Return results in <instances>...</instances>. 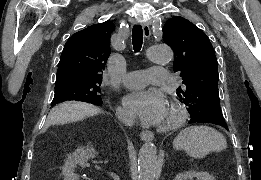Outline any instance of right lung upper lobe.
Here are the masks:
<instances>
[{"instance_id": "right-lung-upper-lobe-1", "label": "right lung upper lobe", "mask_w": 261, "mask_h": 180, "mask_svg": "<svg viewBox=\"0 0 261 180\" xmlns=\"http://www.w3.org/2000/svg\"><path fill=\"white\" fill-rule=\"evenodd\" d=\"M111 21L95 24L71 36L57 69L56 84L67 81L102 82V71L110 54Z\"/></svg>"}]
</instances>
